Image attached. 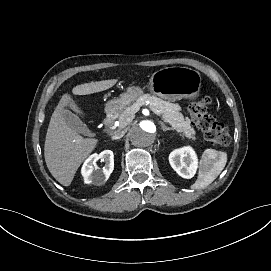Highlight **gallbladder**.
Wrapping results in <instances>:
<instances>
[{
    "mask_svg": "<svg viewBox=\"0 0 271 271\" xmlns=\"http://www.w3.org/2000/svg\"><path fill=\"white\" fill-rule=\"evenodd\" d=\"M66 118H67L68 124L74 131L80 132L82 134L88 133V130H86L85 124L75 114H73L72 112H69L66 114Z\"/></svg>",
    "mask_w": 271,
    "mask_h": 271,
    "instance_id": "obj_1",
    "label": "gallbladder"
}]
</instances>
